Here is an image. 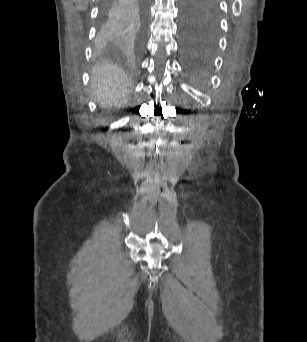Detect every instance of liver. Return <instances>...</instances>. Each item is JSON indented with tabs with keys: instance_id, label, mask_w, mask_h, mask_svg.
Wrapping results in <instances>:
<instances>
[{
	"instance_id": "1",
	"label": "liver",
	"mask_w": 307,
	"mask_h": 342,
	"mask_svg": "<svg viewBox=\"0 0 307 342\" xmlns=\"http://www.w3.org/2000/svg\"><path fill=\"white\" fill-rule=\"evenodd\" d=\"M90 88L101 106H120L132 90V84L115 64H102L93 70Z\"/></svg>"
}]
</instances>
